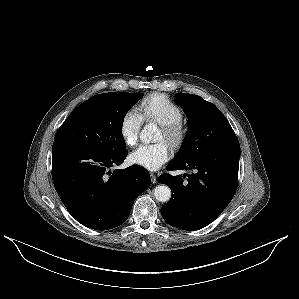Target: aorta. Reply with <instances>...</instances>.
<instances>
[{
    "mask_svg": "<svg viewBox=\"0 0 299 299\" xmlns=\"http://www.w3.org/2000/svg\"><path fill=\"white\" fill-rule=\"evenodd\" d=\"M158 128L155 124L150 123L144 126L140 133V139L144 143L156 141ZM154 196L159 202H168L171 198V189L167 185H158L154 189Z\"/></svg>",
    "mask_w": 299,
    "mask_h": 299,
    "instance_id": "obj_1",
    "label": "aorta"
}]
</instances>
